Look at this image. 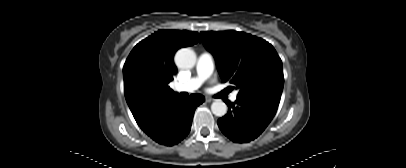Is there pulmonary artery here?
I'll list each match as a JSON object with an SVG mask.
<instances>
[{
  "label": "pulmonary artery",
  "instance_id": "e3ab8cb5",
  "mask_svg": "<svg viewBox=\"0 0 406 168\" xmlns=\"http://www.w3.org/2000/svg\"><path fill=\"white\" fill-rule=\"evenodd\" d=\"M214 70V58L209 52H203L199 55L196 65V75L174 85L176 92H194L210 77ZM237 99V93L231 95V100Z\"/></svg>",
  "mask_w": 406,
  "mask_h": 168
}]
</instances>
